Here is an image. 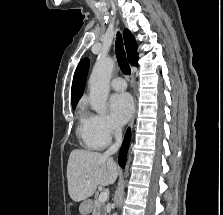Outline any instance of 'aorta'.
<instances>
[{"mask_svg": "<svg viewBox=\"0 0 223 215\" xmlns=\"http://www.w3.org/2000/svg\"><path fill=\"white\" fill-rule=\"evenodd\" d=\"M115 62L108 56H98L89 78L90 106L97 113H106V102L110 92L109 82ZM118 215V213H113Z\"/></svg>", "mask_w": 223, "mask_h": 215, "instance_id": "obj_1", "label": "aorta"}]
</instances>
